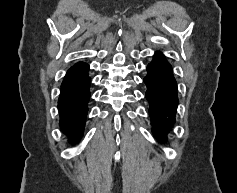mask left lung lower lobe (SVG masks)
<instances>
[{"mask_svg": "<svg viewBox=\"0 0 237 193\" xmlns=\"http://www.w3.org/2000/svg\"><path fill=\"white\" fill-rule=\"evenodd\" d=\"M144 83L147 86L146 98L150 104L149 115L154 136L164 141L166 134L175 122L178 105L177 84L171 65L163 54L157 52L147 66Z\"/></svg>", "mask_w": 237, "mask_h": 193, "instance_id": "left-lung-lower-lobe-1", "label": "left lung lower lobe"}]
</instances>
